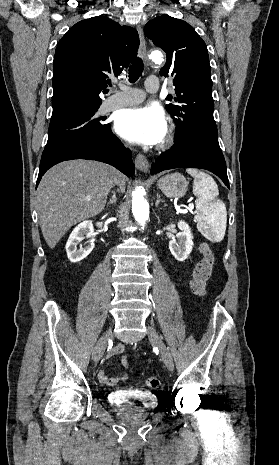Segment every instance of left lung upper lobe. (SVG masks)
<instances>
[{
  "mask_svg": "<svg viewBox=\"0 0 279 465\" xmlns=\"http://www.w3.org/2000/svg\"><path fill=\"white\" fill-rule=\"evenodd\" d=\"M146 36L167 53L162 76L174 78L175 96L166 105L176 124L175 142L193 139L221 150L213 117L212 80L207 47L192 26L163 15L149 21Z\"/></svg>",
  "mask_w": 279,
  "mask_h": 465,
  "instance_id": "5c2ea615",
  "label": "left lung upper lobe"
}]
</instances>
